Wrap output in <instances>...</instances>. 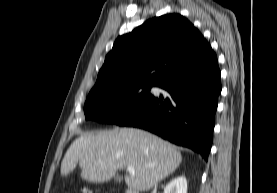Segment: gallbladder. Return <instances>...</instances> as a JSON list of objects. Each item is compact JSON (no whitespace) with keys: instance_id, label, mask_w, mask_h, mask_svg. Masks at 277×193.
I'll return each mask as SVG.
<instances>
[{"instance_id":"gallbladder-1","label":"gallbladder","mask_w":277,"mask_h":193,"mask_svg":"<svg viewBox=\"0 0 277 193\" xmlns=\"http://www.w3.org/2000/svg\"><path fill=\"white\" fill-rule=\"evenodd\" d=\"M122 180H123V177L120 176V175H117V176L115 177V181H116V182H121Z\"/></svg>"}]
</instances>
